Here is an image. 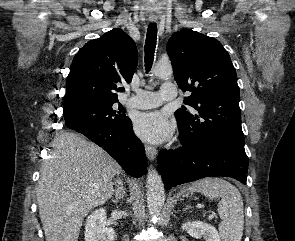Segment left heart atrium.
<instances>
[{"label":"left heart atrium","instance_id":"1","mask_svg":"<svg viewBox=\"0 0 295 241\" xmlns=\"http://www.w3.org/2000/svg\"><path fill=\"white\" fill-rule=\"evenodd\" d=\"M134 129L138 136L151 143L164 142L173 133V125L157 111L140 114L134 121Z\"/></svg>","mask_w":295,"mask_h":241}]
</instances>
